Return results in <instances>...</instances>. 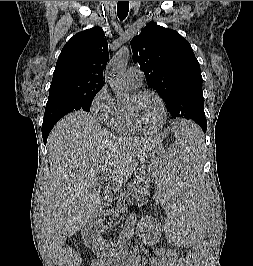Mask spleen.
<instances>
[{
	"mask_svg": "<svg viewBox=\"0 0 253 266\" xmlns=\"http://www.w3.org/2000/svg\"><path fill=\"white\" fill-rule=\"evenodd\" d=\"M171 147L158 160L159 176L154 177L152 194L160 199L165 222V248H202L208 229L207 216L214 215L206 207L204 156L207 135H201L196 123H171Z\"/></svg>",
	"mask_w": 253,
	"mask_h": 266,
	"instance_id": "3e777b00",
	"label": "spleen"
}]
</instances>
